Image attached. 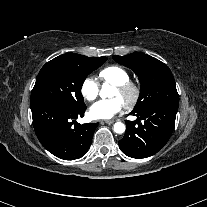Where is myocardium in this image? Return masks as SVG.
Masks as SVG:
<instances>
[{
    "label": "myocardium",
    "mask_w": 207,
    "mask_h": 207,
    "mask_svg": "<svg viewBox=\"0 0 207 207\" xmlns=\"http://www.w3.org/2000/svg\"><path fill=\"white\" fill-rule=\"evenodd\" d=\"M119 97L124 100L129 108H133L138 103L141 96V88L137 83L128 81L122 85H116Z\"/></svg>",
    "instance_id": "myocardium-1"
}]
</instances>
